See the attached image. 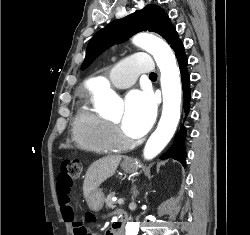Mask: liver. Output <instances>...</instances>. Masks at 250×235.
Here are the masks:
<instances>
[{
    "label": "liver",
    "instance_id": "1",
    "mask_svg": "<svg viewBox=\"0 0 250 235\" xmlns=\"http://www.w3.org/2000/svg\"><path fill=\"white\" fill-rule=\"evenodd\" d=\"M122 159V156H107L90 165L83 183L85 199L96 190L104 181L112 177Z\"/></svg>",
    "mask_w": 250,
    "mask_h": 235
}]
</instances>
